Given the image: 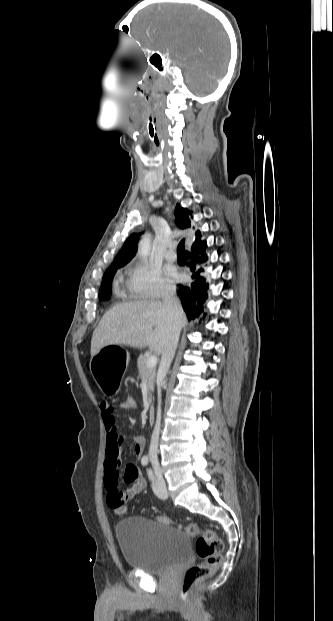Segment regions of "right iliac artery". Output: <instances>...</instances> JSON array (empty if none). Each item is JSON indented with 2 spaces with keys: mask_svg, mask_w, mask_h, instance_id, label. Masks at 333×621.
Listing matches in <instances>:
<instances>
[{
  "mask_svg": "<svg viewBox=\"0 0 333 621\" xmlns=\"http://www.w3.org/2000/svg\"><path fill=\"white\" fill-rule=\"evenodd\" d=\"M148 462H149L148 456L144 455V456L142 457V459H141V464H142L143 466H147V465H148Z\"/></svg>",
  "mask_w": 333,
  "mask_h": 621,
  "instance_id": "1",
  "label": "right iliac artery"
}]
</instances>
